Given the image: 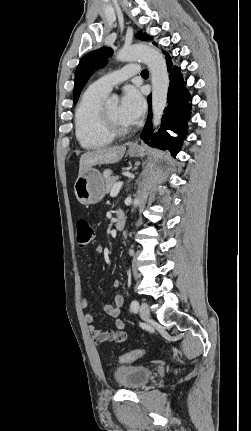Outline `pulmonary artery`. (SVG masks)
I'll return each instance as SVG.
<instances>
[{
  "mask_svg": "<svg viewBox=\"0 0 251 431\" xmlns=\"http://www.w3.org/2000/svg\"><path fill=\"white\" fill-rule=\"evenodd\" d=\"M139 71H140V67L138 64H135V63L128 64L117 71H114L112 73H109L100 77L92 84V86L107 94L112 90L114 86L138 74Z\"/></svg>",
  "mask_w": 251,
  "mask_h": 431,
  "instance_id": "pulmonary-artery-1",
  "label": "pulmonary artery"
}]
</instances>
